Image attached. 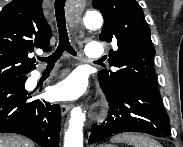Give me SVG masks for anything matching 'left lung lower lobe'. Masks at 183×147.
<instances>
[{"label": "left lung lower lobe", "instance_id": "0a47b994", "mask_svg": "<svg viewBox=\"0 0 183 147\" xmlns=\"http://www.w3.org/2000/svg\"><path fill=\"white\" fill-rule=\"evenodd\" d=\"M102 90L110 112L106 123L92 127L90 143L123 132H142L164 138L171 136L169 117L157 88L131 83L113 93Z\"/></svg>", "mask_w": 183, "mask_h": 147}]
</instances>
